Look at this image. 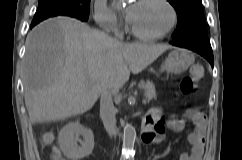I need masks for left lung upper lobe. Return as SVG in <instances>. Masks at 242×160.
<instances>
[{
    "mask_svg": "<svg viewBox=\"0 0 242 160\" xmlns=\"http://www.w3.org/2000/svg\"><path fill=\"white\" fill-rule=\"evenodd\" d=\"M175 8L178 17L174 40L194 36H207V27L201 0H168Z\"/></svg>",
    "mask_w": 242,
    "mask_h": 160,
    "instance_id": "left-lung-upper-lobe-1",
    "label": "left lung upper lobe"
}]
</instances>
